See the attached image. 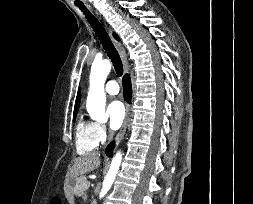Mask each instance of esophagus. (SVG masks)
<instances>
[{
    "instance_id": "1",
    "label": "esophagus",
    "mask_w": 253,
    "mask_h": 204,
    "mask_svg": "<svg viewBox=\"0 0 253 204\" xmlns=\"http://www.w3.org/2000/svg\"><path fill=\"white\" fill-rule=\"evenodd\" d=\"M109 33H110V35H112V32L110 29H109ZM112 40H113V43H114V45L121 57V60H122L123 66H124V71H125V73H128L129 65H128V60H127V55H126L125 49L120 42H118L114 38H112ZM129 115H130V106H129V104H126L125 119H124L123 125H122L119 133L116 136V139H115L116 143L120 142V140L123 138V136L126 132L128 121H129Z\"/></svg>"
}]
</instances>
